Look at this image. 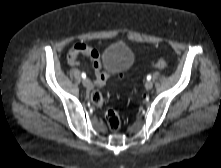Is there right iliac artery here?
<instances>
[{"label":"right iliac artery","instance_id":"1","mask_svg":"<svg viewBox=\"0 0 221 168\" xmlns=\"http://www.w3.org/2000/svg\"><path fill=\"white\" fill-rule=\"evenodd\" d=\"M81 76H82V78H83V79H85V78H86V74H85V73H82V75H81Z\"/></svg>","mask_w":221,"mask_h":168}]
</instances>
